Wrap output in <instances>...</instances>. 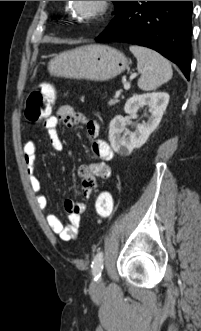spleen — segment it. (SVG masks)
<instances>
[{
	"label": "spleen",
	"mask_w": 201,
	"mask_h": 331,
	"mask_svg": "<svg viewBox=\"0 0 201 331\" xmlns=\"http://www.w3.org/2000/svg\"><path fill=\"white\" fill-rule=\"evenodd\" d=\"M129 49L137 59V68L141 73L138 87L141 90H155L172 78L171 64L161 54L139 45H131Z\"/></svg>",
	"instance_id": "1"
}]
</instances>
